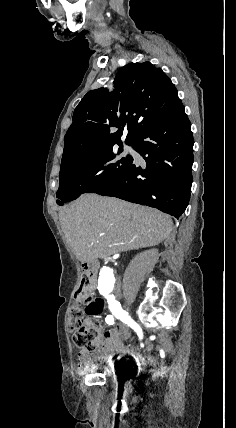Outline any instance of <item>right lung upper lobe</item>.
Segmentation results:
<instances>
[{"label": "right lung upper lobe", "mask_w": 236, "mask_h": 428, "mask_svg": "<svg viewBox=\"0 0 236 428\" xmlns=\"http://www.w3.org/2000/svg\"><path fill=\"white\" fill-rule=\"evenodd\" d=\"M114 85L111 93L106 88L89 91L76 107L64 137L61 169L121 142L124 126L125 141H133L182 105L170 78L150 62L125 65Z\"/></svg>", "instance_id": "1"}]
</instances>
